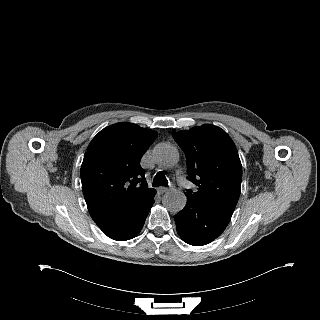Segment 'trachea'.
<instances>
[{"instance_id":"obj_1","label":"trachea","mask_w":320,"mask_h":320,"mask_svg":"<svg viewBox=\"0 0 320 320\" xmlns=\"http://www.w3.org/2000/svg\"><path fill=\"white\" fill-rule=\"evenodd\" d=\"M168 180L164 173L158 172L153 179V186H167Z\"/></svg>"}]
</instances>
